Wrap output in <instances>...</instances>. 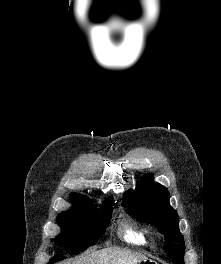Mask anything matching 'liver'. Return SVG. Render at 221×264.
<instances>
[{
	"label": "liver",
	"instance_id": "obj_1",
	"mask_svg": "<svg viewBox=\"0 0 221 264\" xmlns=\"http://www.w3.org/2000/svg\"><path fill=\"white\" fill-rule=\"evenodd\" d=\"M144 259H147V257L140 253L118 247H110L63 264H137Z\"/></svg>",
	"mask_w": 221,
	"mask_h": 264
}]
</instances>
